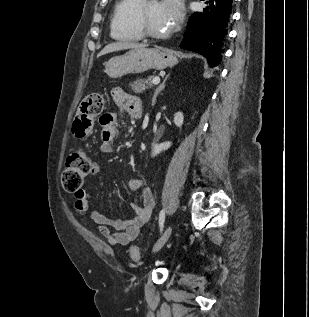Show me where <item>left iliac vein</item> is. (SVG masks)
I'll list each match as a JSON object with an SVG mask.
<instances>
[{"instance_id":"1","label":"left iliac vein","mask_w":309,"mask_h":317,"mask_svg":"<svg viewBox=\"0 0 309 317\" xmlns=\"http://www.w3.org/2000/svg\"><path fill=\"white\" fill-rule=\"evenodd\" d=\"M172 233V226L169 225L165 231L163 232V234L161 235V237L158 239V241L155 243L152 252L156 253L158 252L164 245L165 243L168 241L170 235Z\"/></svg>"}]
</instances>
